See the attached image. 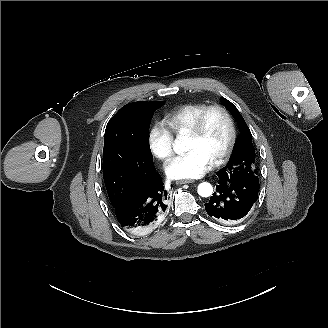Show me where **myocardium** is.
Masks as SVG:
<instances>
[{
	"label": "myocardium",
	"mask_w": 328,
	"mask_h": 328,
	"mask_svg": "<svg viewBox=\"0 0 328 328\" xmlns=\"http://www.w3.org/2000/svg\"><path fill=\"white\" fill-rule=\"evenodd\" d=\"M212 113H220L221 115H223L226 118V120L229 124V127H230V138H229L228 145H227L225 151L223 152V154L212 163V165L214 167H219L229 161V159L232 156L233 151L235 149L236 143H237V136H238L237 135V127H236L235 120H234L232 114L230 113V111L221 105L208 106L197 117V119L195 120L192 127L187 131V134L192 137H197L202 132L207 118Z\"/></svg>",
	"instance_id": "myocardium-1"
}]
</instances>
